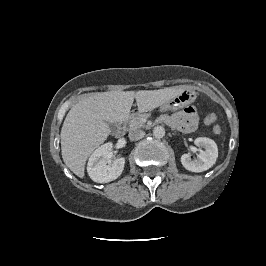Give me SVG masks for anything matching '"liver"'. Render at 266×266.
<instances>
[{"label": "liver", "instance_id": "1", "mask_svg": "<svg viewBox=\"0 0 266 266\" xmlns=\"http://www.w3.org/2000/svg\"><path fill=\"white\" fill-rule=\"evenodd\" d=\"M183 88L88 94L73 105L64 120L60 134L64 163L75 175L83 178L88 157L111 132L108 123L126 120L134 99L138 110L147 112L163 105Z\"/></svg>", "mask_w": 266, "mask_h": 266}]
</instances>
